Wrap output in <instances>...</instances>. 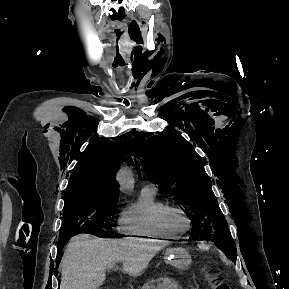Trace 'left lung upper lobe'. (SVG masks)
<instances>
[{
	"label": "left lung upper lobe",
	"mask_w": 289,
	"mask_h": 289,
	"mask_svg": "<svg viewBox=\"0 0 289 289\" xmlns=\"http://www.w3.org/2000/svg\"><path fill=\"white\" fill-rule=\"evenodd\" d=\"M142 165L148 180L157 183L192 220L190 238L213 241L236 262L234 240L219 209L201 157L177 132L151 137L141 145Z\"/></svg>",
	"instance_id": "5c2ea615"
}]
</instances>
